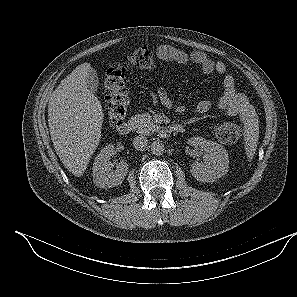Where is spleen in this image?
Returning a JSON list of instances; mask_svg holds the SVG:
<instances>
[{"instance_id": "obj_1", "label": "spleen", "mask_w": 297, "mask_h": 297, "mask_svg": "<svg viewBox=\"0 0 297 297\" xmlns=\"http://www.w3.org/2000/svg\"><path fill=\"white\" fill-rule=\"evenodd\" d=\"M244 122V138L246 143V151L248 157L251 159L255 154L259 137V123L256 113L253 111L250 112L246 117H244Z\"/></svg>"}]
</instances>
